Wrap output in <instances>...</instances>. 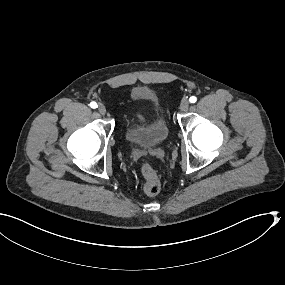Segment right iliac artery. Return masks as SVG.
Here are the masks:
<instances>
[{
	"mask_svg": "<svg viewBox=\"0 0 285 285\" xmlns=\"http://www.w3.org/2000/svg\"><path fill=\"white\" fill-rule=\"evenodd\" d=\"M90 107L93 108V109H95V108L98 107V105H97L96 102L93 101V102L90 103Z\"/></svg>",
	"mask_w": 285,
	"mask_h": 285,
	"instance_id": "right-iliac-artery-1",
	"label": "right iliac artery"
}]
</instances>
